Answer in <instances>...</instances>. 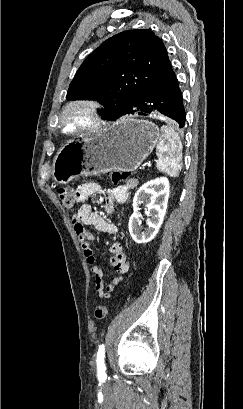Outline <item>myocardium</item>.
Instances as JSON below:
<instances>
[{
	"mask_svg": "<svg viewBox=\"0 0 243 409\" xmlns=\"http://www.w3.org/2000/svg\"><path fill=\"white\" fill-rule=\"evenodd\" d=\"M82 112L88 119L87 125L76 130H67L64 127L65 117L72 111ZM104 126L100 112V105L94 100L78 98L65 104L58 115V129L69 137L81 136L99 130Z\"/></svg>",
	"mask_w": 243,
	"mask_h": 409,
	"instance_id": "1",
	"label": "myocardium"
}]
</instances>
